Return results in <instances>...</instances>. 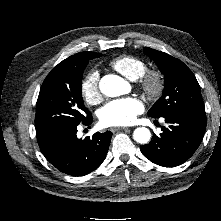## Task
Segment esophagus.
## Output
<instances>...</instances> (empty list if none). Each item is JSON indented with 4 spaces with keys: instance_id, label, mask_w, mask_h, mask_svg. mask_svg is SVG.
Segmentation results:
<instances>
[{
    "instance_id": "esophagus-1",
    "label": "esophagus",
    "mask_w": 221,
    "mask_h": 221,
    "mask_svg": "<svg viewBox=\"0 0 221 221\" xmlns=\"http://www.w3.org/2000/svg\"><path fill=\"white\" fill-rule=\"evenodd\" d=\"M110 130L112 131V132H116V131H119V130H129V128H127V127H112V128H110Z\"/></svg>"
}]
</instances>
